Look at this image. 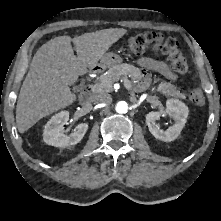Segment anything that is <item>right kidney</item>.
Returning <instances> with one entry per match:
<instances>
[{
	"label": "right kidney",
	"instance_id": "ca27d5eb",
	"mask_svg": "<svg viewBox=\"0 0 221 221\" xmlns=\"http://www.w3.org/2000/svg\"><path fill=\"white\" fill-rule=\"evenodd\" d=\"M68 119V111H61L52 116L43 130V140L46 144L55 147H67L76 145L81 141L88 129V124H78L74 132L70 136H67L64 134L63 129Z\"/></svg>",
	"mask_w": 221,
	"mask_h": 221
}]
</instances>
